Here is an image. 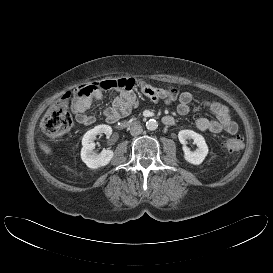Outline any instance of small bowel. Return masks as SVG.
<instances>
[{"label": "small bowel", "mask_w": 273, "mask_h": 273, "mask_svg": "<svg viewBox=\"0 0 273 273\" xmlns=\"http://www.w3.org/2000/svg\"><path fill=\"white\" fill-rule=\"evenodd\" d=\"M136 87L150 100L158 101L160 99L166 102L171 101L166 90L158 89L144 80H137ZM103 98L101 92L86 99H76L73 102L72 110L75 114L76 121L85 126L92 125L95 121L94 117L87 114L95 102ZM193 100L192 93L182 92L178 99L177 113L181 116L187 115L190 111V104ZM138 99L133 90H121L113 99L111 106L104 110L106 119L113 123L130 114L132 109L137 105ZM204 106L215 116V119L200 117L195 121L196 127L201 131H209L212 133H220L225 131L228 134H235L238 131L237 123L232 120L228 108L221 103L213 100H206ZM166 125H173L175 120L172 116H165Z\"/></svg>", "instance_id": "1"}]
</instances>
